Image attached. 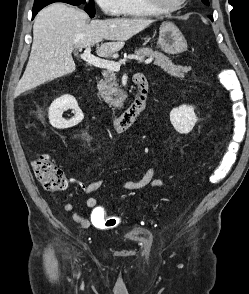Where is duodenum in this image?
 Instances as JSON below:
<instances>
[{
  "label": "duodenum",
  "mask_w": 249,
  "mask_h": 294,
  "mask_svg": "<svg viewBox=\"0 0 249 294\" xmlns=\"http://www.w3.org/2000/svg\"><path fill=\"white\" fill-rule=\"evenodd\" d=\"M133 82L136 86V95L133 103L121 115L113 118V128L117 132L127 130L142 115L147 105L149 88L145 76L143 74H135Z\"/></svg>",
  "instance_id": "1"
}]
</instances>
